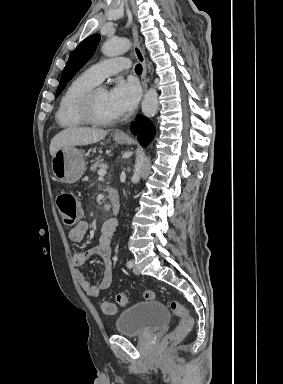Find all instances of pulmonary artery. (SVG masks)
<instances>
[{
  "mask_svg": "<svg viewBox=\"0 0 283 384\" xmlns=\"http://www.w3.org/2000/svg\"><path fill=\"white\" fill-rule=\"evenodd\" d=\"M129 70L130 64L126 61H103L90 67L85 74L92 82L99 84L107 76Z\"/></svg>",
  "mask_w": 283,
  "mask_h": 384,
  "instance_id": "1",
  "label": "pulmonary artery"
}]
</instances>
